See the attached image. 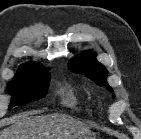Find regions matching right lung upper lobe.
Returning a JSON list of instances; mask_svg holds the SVG:
<instances>
[{
    "instance_id": "cb5924a9",
    "label": "right lung upper lobe",
    "mask_w": 141,
    "mask_h": 139,
    "mask_svg": "<svg viewBox=\"0 0 141 139\" xmlns=\"http://www.w3.org/2000/svg\"><path fill=\"white\" fill-rule=\"evenodd\" d=\"M40 67H42V65H40L38 63L29 62V63H25V64L21 65L20 70L28 69V68H40Z\"/></svg>"
}]
</instances>
